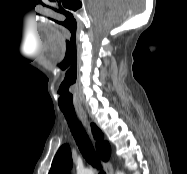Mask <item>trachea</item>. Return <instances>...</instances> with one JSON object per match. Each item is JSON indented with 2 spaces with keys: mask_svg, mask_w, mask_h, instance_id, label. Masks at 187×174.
Instances as JSON below:
<instances>
[{
  "mask_svg": "<svg viewBox=\"0 0 187 174\" xmlns=\"http://www.w3.org/2000/svg\"><path fill=\"white\" fill-rule=\"evenodd\" d=\"M61 111L63 112V114L67 120L69 128L72 132V135H73V137L76 141V144L78 145L79 150L81 151L83 157L93 167L101 169V164H100L98 156L95 152L93 144H92L89 136L87 135L86 131L84 130L83 126L79 122L74 108L73 109L61 108ZM101 174H106V173L102 172Z\"/></svg>",
  "mask_w": 187,
  "mask_h": 174,
  "instance_id": "1",
  "label": "trachea"
}]
</instances>
